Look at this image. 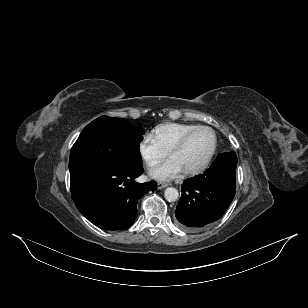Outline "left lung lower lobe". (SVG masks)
I'll list each match as a JSON object with an SVG mask.
<instances>
[{
    "label": "left lung lower lobe",
    "mask_w": 308,
    "mask_h": 308,
    "mask_svg": "<svg viewBox=\"0 0 308 308\" xmlns=\"http://www.w3.org/2000/svg\"><path fill=\"white\" fill-rule=\"evenodd\" d=\"M236 166V154L223 153L205 173L182 184L175 210L180 226L197 231L223 216L235 195Z\"/></svg>",
    "instance_id": "obj_1"
}]
</instances>
